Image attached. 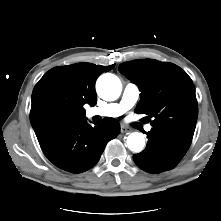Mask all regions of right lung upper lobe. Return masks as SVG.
<instances>
[{
	"mask_svg": "<svg viewBox=\"0 0 221 221\" xmlns=\"http://www.w3.org/2000/svg\"><path fill=\"white\" fill-rule=\"evenodd\" d=\"M114 67L77 63L44 74L32 92L30 121L38 141L58 127L86 119L84 105H96V79Z\"/></svg>",
	"mask_w": 221,
	"mask_h": 221,
	"instance_id": "1",
	"label": "right lung upper lobe"
}]
</instances>
